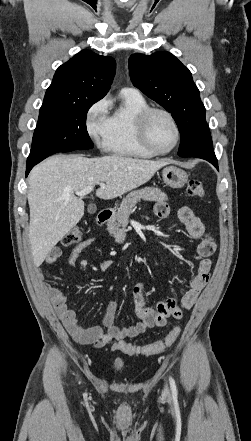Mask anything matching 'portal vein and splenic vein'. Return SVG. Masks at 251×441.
I'll return each instance as SVG.
<instances>
[{"instance_id":"18ae733b","label":"portal vein and splenic vein","mask_w":251,"mask_h":441,"mask_svg":"<svg viewBox=\"0 0 251 441\" xmlns=\"http://www.w3.org/2000/svg\"><path fill=\"white\" fill-rule=\"evenodd\" d=\"M98 185H99L101 188H104V187H105V184H104L103 182L98 183ZM93 188H94V186H89V187L84 188V189L81 190V191L76 192L75 194H76L77 196L82 197V196H85V195L89 194V193L93 190Z\"/></svg>"}]
</instances>
